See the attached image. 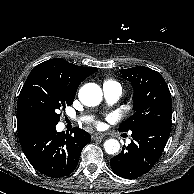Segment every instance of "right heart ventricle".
Masks as SVG:
<instances>
[{
	"instance_id": "1",
	"label": "right heart ventricle",
	"mask_w": 194,
	"mask_h": 194,
	"mask_svg": "<svg viewBox=\"0 0 194 194\" xmlns=\"http://www.w3.org/2000/svg\"><path fill=\"white\" fill-rule=\"evenodd\" d=\"M103 85H110V86H115L121 89L120 84L116 82L115 80L112 79H106L103 83Z\"/></svg>"
}]
</instances>
